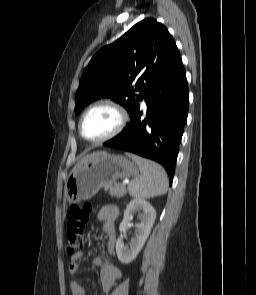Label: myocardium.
Instances as JSON below:
<instances>
[{
  "instance_id": "f54148a6",
  "label": "myocardium",
  "mask_w": 256,
  "mask_h": 295,
  "mask_svg": "<svg viewBox=\"0 0 256 295\" xmlns=\"http://www.w3.org/2000/svg\"><path fill=\"white\" fill-rule=\"evenodd\" d=\"M101 106H107V107L112 108L118 115V123H117L116 127L114 128V130L112 132H110L108 135H106L100 139H95V140L88 139L87 137H85V135L83 133L84 120H85L86 116L92 110H94L97 107H101ZM127 120H128V115L121 105H119L117 102H115L111 99H102V100H99V101L93 103L84 111V113L82 114V116L80 118V122H79V133L85 141L92 143V144H101V143H104V142L116 137L125 127Z\"/></svg>"
}]
</instances>
